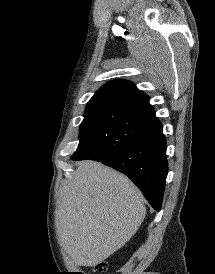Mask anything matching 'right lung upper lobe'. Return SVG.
I'll return each instance as SVG.
<instances>
[{
    "label": "right lung upper lobe",
    "instance_id": "cb5924a9",
    "mask_svg": "<svg viewBox=\"0 0 215 274\" xmlns=\"http://www.w3.org/2000/svg\"><path fill=\"white\" fill-rule=\"evenodd\" d=\"M89 102H115L131 108L154 113L149 97L126 80L110 81L102 86Z\"/></svg>",
    "mask_w": 215,
    "mask_h": 274
}]
</instances>
